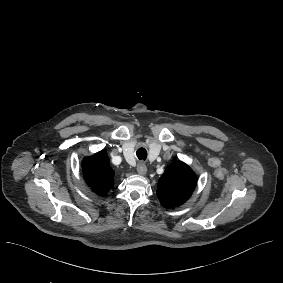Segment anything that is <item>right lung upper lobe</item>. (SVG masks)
I'll return each instance as SVG.
<instances>
[{
	"instance_id": "right-lung-upper-lobe-1",
	"label": "right lung upper lobe",
	"mask_w": 283,
	"mask_h": 283,
	"mask_svg": "<svg viewBox=\"0 0 283 283\" xmlns=\"http://www.w3.org/2000/svg\"><path fill=\"white\" fill-rule=\"evenodd\" d=\"M84 178L97 194H103L114 186V171L110 167L107 152L102 150L82 162Z\"/></svg>"
}]
</instances>
